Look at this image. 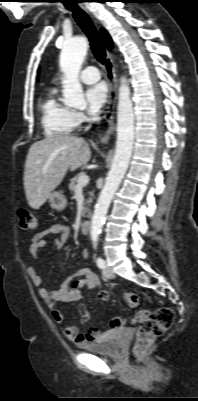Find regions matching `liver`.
Wrapping results in <instances>:
<instances>
[{"instance_id":"obj_1","label":"liver","mask_w":198,"mask_h":401,"mask_svg":"<svg viewBox=\"0 0 198 401\" xmlns=\"http://www.w3.org/2000/svg\"><path fill=\"white\" fill-rule=\"evenodd\" d=\"M90 158V147L83 138L52 135L33 143L24 171V188L30 207L39 209L67 171L85 166Z\"/></svg>"}]
</instances>
